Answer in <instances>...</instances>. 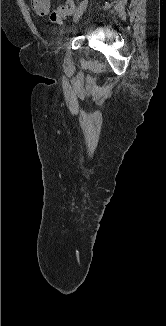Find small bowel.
<instances>
[{"instance_id": "small-bowel-1", "label": "small bowel", "mask_w": 166, "mask_h": 326, "mask_svg": "<svg viewBox=\"0 0 166 326\" xmlns=\"http://www.w3.org/2000/svg\"><path fill=\"white\" fill-rule=\"evenodd\" d=\"M31 8L39 15H46L51 7V0H30Z\"/></svg>"}]
</instances>
